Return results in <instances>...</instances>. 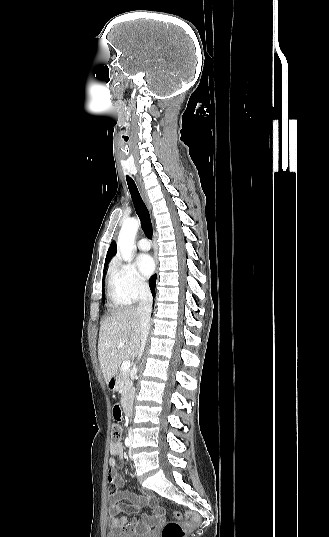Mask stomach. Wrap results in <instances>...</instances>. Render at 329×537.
Here are the masks:
<instances>
[{
    "label": "stomach",
    "mask_w": 329,
    "mask_h": 537,
    "mask_svg": "<svg viewBox=\"0 0 329 537\" xmlns=\"http://www.w3.org/2000/svg\"><path fill=\"white\" fill-rule=\"evenodd\" d=\"M107 385H108V388H109V389H111V390L114 391L115 389H117V386H116V379L112 377V378L108 381Z\"/></svg>",
    "instance_id": "1"
}]
</instances>
